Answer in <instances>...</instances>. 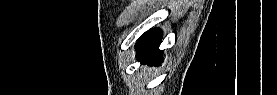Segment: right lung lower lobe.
Instances as JSON below:
<instances>
[{"label": "right lung lower lobe", "instance_id": "1", "mask_svg": "<svg viewBox=\"0 0 277 95\" xmlns=\"http://www.w3.org/2000/svg\"><path fill=\"white\" fill-rule=\"evenodd\" d=\"M162 32L160 29H151L144 33L137 42V58L149 64L163 61L162 52L159 50Z\"/></svg>", "mask_w": 277, "mask_h": 95}]
</instances>
